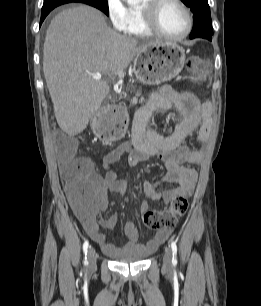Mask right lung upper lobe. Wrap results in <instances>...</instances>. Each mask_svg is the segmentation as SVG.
I'll use <instances>...</instances> for the list:
<instances>
[{"instance_id": "right-lung-upper-lobe-1", "label": "right lung upper lobe", "mask_w": 261, "mask_h": 306, "mask_svg": "<svg viewBox=\"0 0 261 306\" xmlns=\"http://www.w3.org/2000/svg\"><path fill=\"white\" fill-rule=\"evenodd\" d=\"M66 1H75V2H77V1H80V0H66ZM80 3V2H79Z\"/></svg>"}]
</instances>
